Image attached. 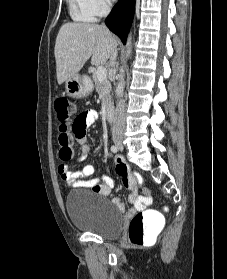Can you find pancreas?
Masks as SVG:
<instances>
[{"mask_svg":"<svg viewBox=\"0 0 227 279\" xmlns=\"http://www.w3.org/2000/svg\"><path fill=\"white\" fill-rule=\"evenodd\" d=\"M92 78L95 83L96 91L101 95L105 107L111 105V84L110 81L106 78L104 80H99L95 74V71L92 73Z\"/></svg>","mask_w":227,"mask_h":279,"instance_id":"pancreas-1","label":"pancreas"}]
</instances>
